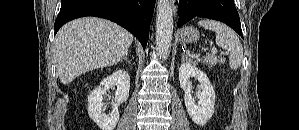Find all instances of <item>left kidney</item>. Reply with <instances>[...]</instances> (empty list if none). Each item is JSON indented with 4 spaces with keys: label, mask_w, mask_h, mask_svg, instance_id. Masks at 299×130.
Segmentation results:
<instances>
[{
    "label": "left kidney",
    "mask_w": 299,
    "mask_h": 130,
    "mask_svg": "<svg viewBox=\"0 0 299 130\" xmlns=\"http://www.w3.org/2000/svg\"><path fill=\"white\" fill-rule=\"evenodd\" d=\"M190 77L200 82L201 91L198 92V103L192 98ZM180 87L184 90V100L187 112L194 123L203 126L214 114L215 91L207 75L190 61L184 62L179 68Z\"/></svg>",
    "instance_id": "1"
}]
</instances>
